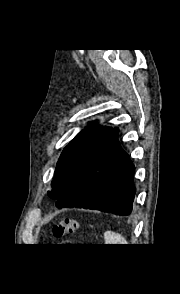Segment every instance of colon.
Listing matches in <instances>:
<instances>
[{
	"label": "colon",
	"mask_w": 180,
	"mask_h": 294,
	"mask_svg": "<svg viewBox=\"0 0 180 294\" xmlns=\"http://www.w3.org/2000/svg\"><path fill=\"white\" fill-rule=\"evenodd\" d=\"M79 228V223L74 219H62L57 221L52 229L54 238H61L63 236L76 232Z\"/></svg>",
	"instance_id": "5ec220e1"
}]
</instances>
